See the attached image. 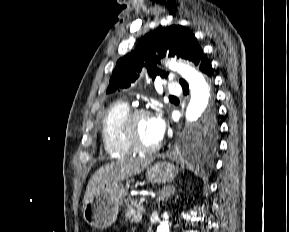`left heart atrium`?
<instances>
[{
	"instance_id": "39dd6f15",
	"label": "left heart atrium",
	"mask_w": 289,
	"mask_h": 232,
	"mask_svg": "<svg viewBox=\"0 0 289 232\" xmlns=\"http://www.w3.org/2000/svg\"><path fill=\"white\" fill-rule=\"evenodd\" d=\"M152 128L155 140L157 142H160L165 132V123L162 117L160 116L152 117Z\"/></svg>"
}]
</instances>
